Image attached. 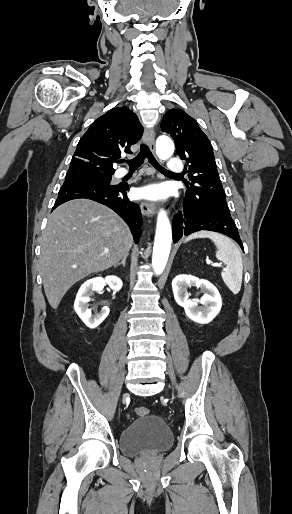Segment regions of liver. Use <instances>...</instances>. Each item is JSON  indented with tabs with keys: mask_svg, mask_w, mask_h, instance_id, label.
Instances as JSON below:
<instances>
[{
	"mask_svg": "<svg viewBox=\"0 0 292 514\" xmlns=\"http://www.w3.org/2000/svg\"><path fill=\"white\" fill-rule=\"evenodd\" d=\"M132 244L127 224L102 204L71 200L56 208L42 232L39 258L51 308H58L75 282L116 266L128 256Z\"/></svg>",
	"mask_w": 292,
	"mask_h": 514,
	"instance_id": "6515ba94",
	"label": "liver"
}]
</instances>
